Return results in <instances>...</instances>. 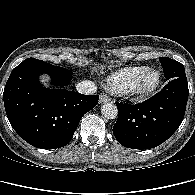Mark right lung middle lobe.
<instances>
[{
    "instance_id": "obj_1",
    "label": "right lung middle lobe",
    "mask_w": 195,
    "mask_h": 195,
    "mask_svg": "<svg viewBox=\"0 0 195 195\" xmlns=\"http://www.w3.org/2000/svg\"><path fill=\"white\" fill-rule=\"evenodd\" d=\"M23 62H33L38 67L45 70L54 78L55 84L58 86H66L72 79L73 73L63 67L54 66L50 63L34 58H28Z\"/></svg>"
}]
</instances>
